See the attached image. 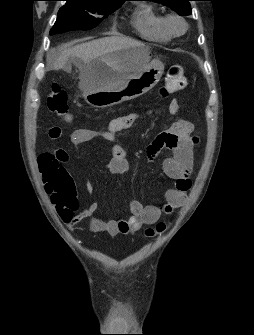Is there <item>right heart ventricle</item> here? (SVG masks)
I'll use <instances>...</instances> for the list:
<instances>
[{"label": "right heart ventricle", "mask_w": 254, "mask_h": 335, "mask_svg": "<svg viewBox=\"0 0 254 335\" xmlns=\"http://www.w3.org/2000/svg\"><path fill=\"white\" fill-rule=\"evenodd\" d=\"M165 17L150 5H140L131 17V25L144 39L152 42L166 43L172 36L164 25Z\"/></svg>", "instance_id": "obj_1"}]
</instances>
